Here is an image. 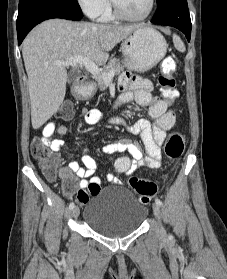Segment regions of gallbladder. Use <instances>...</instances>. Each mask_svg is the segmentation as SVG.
<instances>
[{
  "mask_svg": "<svg viewBox=\"0 0 227 279\" xmlns=\"http://www.w3.org/2000/svg\"><path fill=\"white\" fill-rule=\"evenodd\" d=\"M80 76V72L77 70H72L68 73L67 80L69 83L75 81Z\"/></svg>",
  "mask_w": 227,
  "mask_h": 279,
  "instance_id": "bac80fb5",
  "label": "gallbladder"
}]
</instances>
